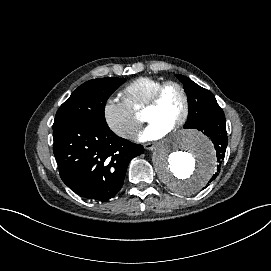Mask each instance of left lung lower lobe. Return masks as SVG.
Wrapping results in <instances>:
<instances>
[{"label": "left lung lower lobe", "instance_id": "0a47b994", "mask_svg": "<svg viewBox=\"0 0 271 271\" xmlns=\"http://www.w3.org/2000/svg\"><path fill=\"white\" fill-rule=\"evenodd\" d=\"M197 130L201 131L209 138H211L212 142L215 145L217 172L212 176V178L208 182L210 183L218 175V172L225 157L228 142L226 132V120L223 110L219 108L208 113L207 116L200 122L199 126L197 127Z\"/></svg>", "mask_w": 271, "mask_h": 271}]
</instances>
